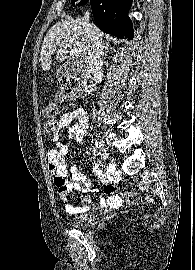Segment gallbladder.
I'll return each instance as SVG.
<instances>
[{"label":"gallbladder","instance_id":"1","mask_svg":"<svg viewBox=\"0 0 195 270\" xmlns=\"http://www.w3.org/2000/svg\"><path fill=\"white\" fill-rule=\"evenodd\" d=\"M72 73V67L71 64H63L62 66L59 67V69L56 72V78L62 79L64 77H67L69 75H71Z\"/></svg>","mask_w":195,"mask_h":270}]
</instances>
